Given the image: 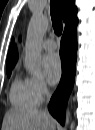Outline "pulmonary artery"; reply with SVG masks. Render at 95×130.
I'll return each instance as SVG.
<instances>
[{
	"label": "pulmonary artery",
	"mask_w": 95,
	"mask_h": 130,
	"mask_svg": "<svg viewBox=\"0 0 95 130\" xmlns=\"http://www.w3.org/2000/svg\"><path fill=\"white\" fill-rule=\"evenodd\" d=\"M56 47V43L51 39H46L42 42V48L47 51H53Z\"/></svg>",
	"instance_id": "1"
}]
</instances>
